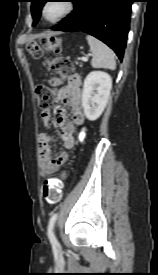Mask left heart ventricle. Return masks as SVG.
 Segmentation results:
<instances>
[{
  "mask_svg": "<svg viewBox=\"0 0 158 275\" xmlns=\"http://www.w3.org/2000/svg\"><path fill=\"white\" fill-rule=\"evenodd\" d=\"M65 9L63 1H52L48 4L45 10L46 17L48 19H54L58 17Z\"/></svg>",
  "mask_w": 158,
  "mask_h": 275,
  "instance_id": "obj_1",
  "label": "left heart ventricle"
}]
</instances>
